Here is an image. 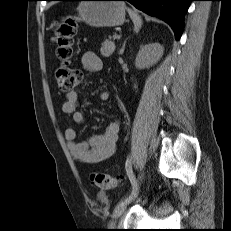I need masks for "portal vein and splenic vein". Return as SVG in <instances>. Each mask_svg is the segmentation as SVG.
Here are the masks:
<instances>
[{
  "label": "portal vein and splenic vein",
  "instance_id": "obj_1",
  "mask_svg": "<svg viewBox=\"0 0 231 231\" xmlns=\"http://www.w3.org/2000/svg\"><path fill=\"white\" fill-rule=\"evenodd\" d=\"M120 37L118 36V35H116V34H114L113 35V39L115 40V39H119Z\"/></svg>",
  "mask_w": 231,
  "mask_h": 231
}]
</instances>
